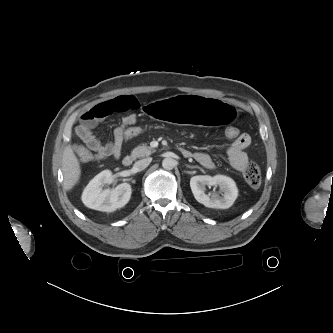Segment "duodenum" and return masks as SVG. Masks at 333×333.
I'll use <instances>...</instances> for the list:
<instances>
[{"label": "duodenum", "instance_id": "1", "mask_svg": "<svg viewBox=\"0 0 333 333\" xmlns=\"http://www.w3.org/2000/svg\"><path fill=\"white\" fill-rule=\"evenodd\" d=\"M181 152L185 156H190V152L185 150V149H182ZM122 163L126 167L130 166L133 163V157L132 156L124 157L123 160H122Z\"/></svg>", "mask_w": 333, "mask_h": 333}]
</instances>
